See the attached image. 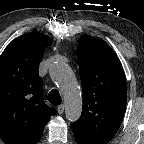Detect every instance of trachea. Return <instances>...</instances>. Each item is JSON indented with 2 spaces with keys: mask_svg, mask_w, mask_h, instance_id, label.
<instances>
[{
  "mask_svg": "<svg viewBox=\"0 0 144 144\" xmlns=\"http://www.w3.org/2000/svg\"><path fill=\"white\" fill-rule=\"evenodd\" d=\"M48 101L57 106L60 105L62 102L61 96L59 94V92L56 89H52L49 94H48Z\"/></svg>",
  "mask_w": 144,
  "mask_h": 144,
  "instance_id": "trachea-1",
  "label": "trachea"
}]
</instances>
